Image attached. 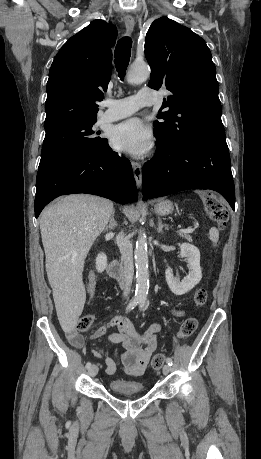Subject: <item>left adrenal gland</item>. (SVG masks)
I'll return each instance as SVG.
<instances>
[{
	"label": "left adrenal gland",
	"mask_w": 261,
	"mask_h": 459,
	"mask_svg": "<svg viewBox=\"0 0 261 459\" xmlns=\"http://www.w3.org/2000/svg\"><path fill=\"white\" fill-rule=\"evenodd\" d=\"M163 229L168 230V225L167 224H163L161 218H158L157 232L161 234V233H163Z\"/></svg>",
	"instance_id": "obj_1"
}]
</instances>
